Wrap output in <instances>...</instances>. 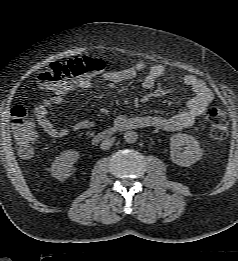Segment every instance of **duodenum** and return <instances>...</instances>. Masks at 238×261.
Listing matches in <instances>:
<instances>
[{
  "mask_svg": "<svg viewBox=\"0 0 238 261\" xmlns=\"http://www.w3.org/2000/svg\"><path fill=\"white\" fill-rule=\"evenodd\" d=\"M122 130H126V128L115 125L114 127L108 128V129L103 130V131L99 132L98 134H96L95 137L93 138V141L94 142L104 141V140L112 137L115 132L122 131Z\"/></svg>",
  "mask_w": 238,
  "mask_h": 261,
  "instance_id": "410a0bca",
  "label": "duodenum"
}]
</instances>
